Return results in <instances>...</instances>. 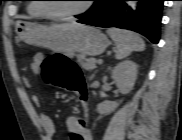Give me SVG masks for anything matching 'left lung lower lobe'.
<instances>
[{"instance_id":"1","label":"left lung lower lobe","mask_w":182,"mask_h":140,"mask_svg":"<svg viewBox=\"0 0 182 140\" xmlns=\"http://www.w3.org/2000/svg\"><path fill=\"white\" fill-rule=\"evenodd\" d=\"M136 11L127 7L126 0H100L78 22L96 27H117L136 31L157 44L164 0H139Z\"/></svg>"}]
</instances>
